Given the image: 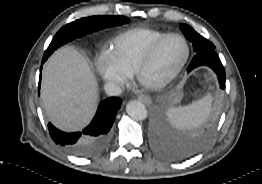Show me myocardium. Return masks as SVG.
<instances>
[{
	"label": "myocardium",
	"mask_w": 262,
	"mask_h": 184,
	"mask_svg": "<svg viewBox=\"0 0 262 184\" xmlns=\"http://www.w3.org/2000/svg\"><path fill=\"white\" fill-rule=\"evenodd\" d=\"M171 38H179L183 41L186 53L181 61V63L169 74H167L165 77L158 79V80H150L145 77L146 71L150 68L152 65L157 53L161 49V47L164 45V43L171 39ZM190 57V46L188 44V41L186 38L180 34L177 33H169L160 38L156 43H154L151 48L147 51V53L144 55V57L141 59V61L136 66L133 76L136 80V82L143 88L151 89V90H158L161 88L166 87L168 84H170L183 70L185 65L187 64Z\"/></svg>",
	"instance_id": "obj_1"
}]
</instances>
